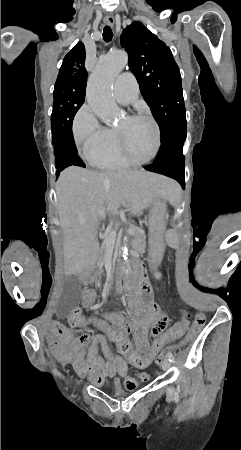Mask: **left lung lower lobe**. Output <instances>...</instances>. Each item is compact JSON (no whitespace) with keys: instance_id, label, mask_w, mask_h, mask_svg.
Returning <instances> with one entry per match:
<instances>
[{"instance_id":"left-lung-lower-lobe-1","label":"left lung lower lobe","mask_w":241,"mask_h":450,"mask_svg":"<svg viewBox=\"0 0 241 450\" xmlns=\"http://www.w3.org/2000/svg\"><path fill=\"white\" fill-rule=\"evenodd\" d=\"M186 137V123L174 127L161 139V148L153 164L145 166L146 170L160 173L185 185V160L182 154Z\"/></svg>"}]
</instances>
